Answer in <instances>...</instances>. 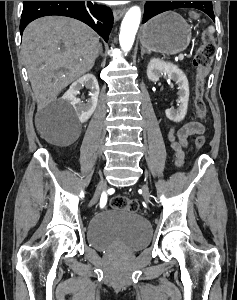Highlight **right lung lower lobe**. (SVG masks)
Returning a JSON list of instances; mask_svg holds the SVG:
<instances>
[{
	"mask_svg": "<svg viewBox=\"0 0 237 300\" xmlns=\"http://www.w3.org/2000/svg\"><path fill=\"white\" fill-rule=\"evenodd\" d=\"M49 15L78 19L94 29L106 42L113 24L112 11L91 1H24L20 22L21 35L31 21Z\"/></svg>",
	"mask_w": 237,
	"mask_h": 300,
	"instance_id": "1",
	"label": "right lung lower lobe"
}]
</instances>
